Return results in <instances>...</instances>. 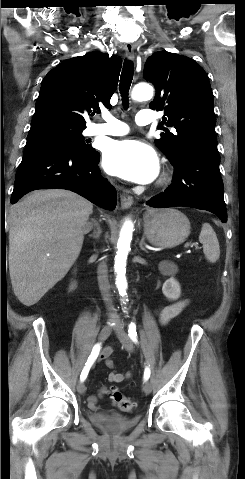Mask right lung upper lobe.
I'll return each instance as SVG.
<instances>
[{
  "mask_svg": "<svg viewBox=\"0 0 245 479\" xmlns=\"http://www.w3.org/2000/svg\"><path fill=\"white\" fill-rule=\"evenodd\" d=\"M120 69L119 58L101 52L58 64L42 81L30 129L54 125L85 129L84 115L99 111L101 105L111 109Z\"/></svg>",
  "mask_w": 245,
  "mask_h": 479,
  "instance_id": "right-lung-upper-lobe-1",
  "label": "right lung upper lobe"
}]
</instances>
